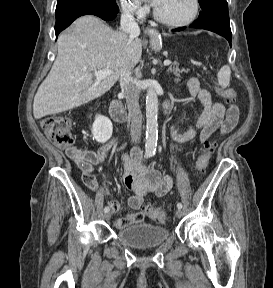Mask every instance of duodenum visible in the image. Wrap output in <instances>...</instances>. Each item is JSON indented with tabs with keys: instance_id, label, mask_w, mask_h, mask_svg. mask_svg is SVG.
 <instances>
[{
	"instance_id": "duodenum-1",
	"label": "duodenum",
	"mask_w": 273,
	"mask_h": 288,
	"mask_svg": "<svg viewBox=\"0 0 273 288\" xmlns=\"http://www.w3.org/2000/svg\"><path fill=\"white\" fill-rule=\"evenodd\" d=\"M168 107H169V103L166 102L164 104V110L167 111ZM110 115L112 116L114 120L119 121V122H127L130 119L129 114L122 109V106L120 105L119 101L116 99L112 100L110 104Z\"/></svg>"
}]
</instances>
